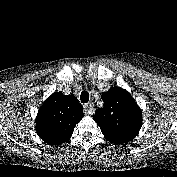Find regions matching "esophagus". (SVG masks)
Instances as JSON below:
<instances>
[{"mask_svg": "<svg viewBox=\"0 0 177 177\" xmlns=\"http://www.w3.org/2000/svg\"><path fill=\"white\" fill-rule=\"evenodd\" d=\"M83 110L85 114L91 115L94 113V108L92 106V104L90 103H86L83 105Z\"/></svg>", "mask_w": 177, "mask_h": 177, "instance_id": "34e87169", "label": "esophagus"}]
</instances>
